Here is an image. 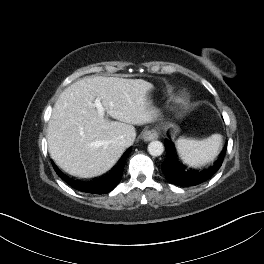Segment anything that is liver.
<instances>
[{
    "instance_id": "obj_1",
    "label": "liver",
    "mask_w": 264,
    "mask_h": 264,
    "mask_svg": "<svg viewBox=\"0 0 264 264\" xmlns=\"http://www.w3.org/2000/svg\"><path fill=\"white\" fill-rule=\"evenodd\" d=\"M153 84L142 79L84 77L68 86L56 101L48 125L51 158L66 173L82 178L108 171L133 144L134 125L158 119L147 93ZM99 98L107 115L100 116L94 100ZM125 136L127 146L115 139Z\"/></svg>"
}]
</instances>
